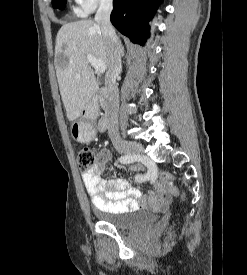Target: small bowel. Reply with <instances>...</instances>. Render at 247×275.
Instances as JSON below:
<instances>
[{
    "label": "small bowel",
    "instance_id": "small-bowel-1",
    "mask_svg": "<svg viewBox=\"0 0 247 275\" xmlns=\"http://www.w3.org/2000/svg\"><path fill=\"white\" fill-rule=\"evenodd\" d=\"M110 158V151L101 149L97 162L82 174L85 189L94 207L108 212H127L143 205L164 208L169 204L171 193L159 179L151 181L154 191L143 195L123 177L106 178V175L112 172Z\"/></svg>",
    "mask_w": 247,
    "mask_h": 275
}]
</instances>
